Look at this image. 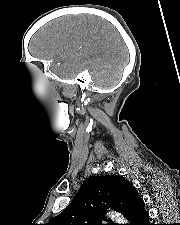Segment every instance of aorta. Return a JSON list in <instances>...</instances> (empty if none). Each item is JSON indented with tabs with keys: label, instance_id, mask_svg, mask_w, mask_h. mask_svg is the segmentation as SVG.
<instances>
[{
	"label": "aorta",
	"instance_id": "1",
	"mask_svg": "<svg viewBox=\"0 0 180 225\" xmlns=\"http://www.w3.org/2000/svg\"><path fill=\"white\" fill-rule=\"evenodd\" d=\"M112 218H115L119 224L126 223V221L123 218L119 217V214L112 215Z\"/></svg>",
	"mask_w": 180,
	"mask_h": 225
}]
</instances>
